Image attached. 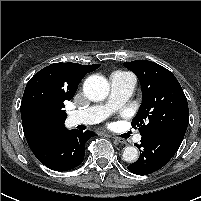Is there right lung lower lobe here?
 <instances>
[{"instance_id":"1","label":"right lung lower lobe","mask_w":201,"mask_h":201,"mask_svg":"<svg viewBox=\"0 0 201 201\" xmlns=\"http://www.w3.org/2000/svg\"><path fill=\"white\" fill-rule=\"evenodd\" d=\"M95 134L72 129L57 134L31 148L36 158L54 171H67L80 165L85 156V143Z\"/></svg>"}]
</instances>
